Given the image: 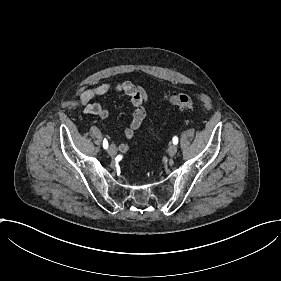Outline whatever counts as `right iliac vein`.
I'll use <instances>...</instances> for the list:
<instances>
[{
	"label": "right iliac vein",
	"mask_w": 281,
	"mask_h": 281,
	"mask_svg": "<svg viewBox=\"0 0 281 281\" xmlns=\"http://www.w3.org/2000/svg\"><path fill=\"white\" fill-rule=\"evenodd\" d=\"M107 152H108L109 154H111V155H114V154H116L117 149H116V147H115L113 144H110V145L108 146Z\"/></svg>",
	"instance_id": "1"
}]
</instances>
